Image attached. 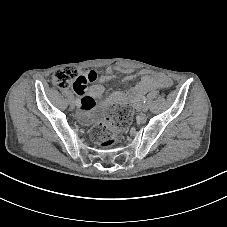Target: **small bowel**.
Masks as SVG:
<instances>
[{"mask_svg": "<svg viewBox=\"0 0 227 227\" xmlns=\"http://www.w3.org/2000/svg\"><path fill=\"white\" fill-rule=\"evenodd\" d=\"M116 73L128 74V79H133L132 70L124 69L120 67L108 68L106 74L102 75L99 80L102 83L110 81L115 77ZM97 79V73L93 70H84L80 72V80L73 83V89L80 96L79 105V119L83 123H88L90 121V112L96 106V100L101 97L105 91L103 84H94L87 87L88 82H93ZM172 86V80L163 75H145L140 83L134 89L132 95L129 97L135 105H138L142 96L149 91L155 89H165ZM127 97L121 93L116 92L112 94L107 100L101 103L102 106L107 107L115 103L125 100Z\"/></svg>", "mask_w": 227, "mask_h": 227, "instance_id": "small-bowel-1", "label": "small bowel"}]
</instances>
